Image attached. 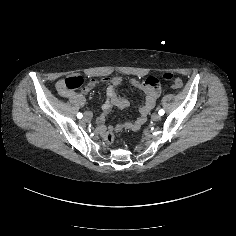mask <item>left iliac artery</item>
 I'll return each instance as SVG.
<instances>
[{"instance_id": "left-iliac-artery-1", "label": "left iliac artery", "mask_w": 236, "mask_h": 236, "mask_svg": "<svg viewBox=\"0 0 236 236\" xmlns=\"http://www.w3.org/2000/svg\"><path fill=\"white\" fill-rule=\"evenodd\" d=\"M158 113H159L160 116H162L165 112H164L163 109H160Z\"/></svg>"}]
</instances>
